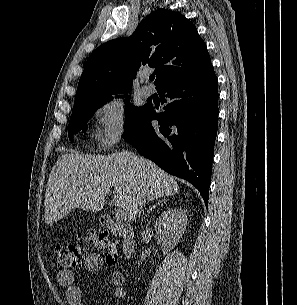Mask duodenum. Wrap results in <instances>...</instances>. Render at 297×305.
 I'll use <instances>...</instances> for the list:
<instances>
[{
  "label": "duodenum",
  "mask_w": 297,
  "mask_h": 305,
  "mask_svg": "<svg viewBox=\"0 0 297 305\" xmlns=\"http://www.w3.org/2000/svg\"><path fill=\"white\" fill-rule=\"evenodd\" d=\"M101 223L112 234L121 238L122 255L125 259H130L135 252L133 228L127 224L117 222L109 214H104L101 217Z\"/></svg>",
  "instance_id": "obj_1"
}]
</instances>
